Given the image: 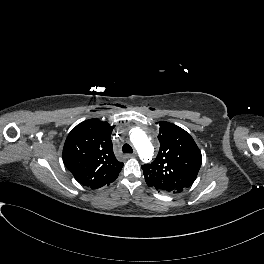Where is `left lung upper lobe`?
<instances>
[{
  "label": "left lung upper lobe",
  "mask_w": 264,
  "mask_h": 264,
  "mask_svg": "<svg viewBox=\"0 0 264 264\" xmlns=\"http://www.w3.org/2000/svg\"><path fill=\"white\" fill-rule=\"evenodd\" d=\"M160 150L150 164L142 165L149 187L167 193H180L195 181L201 167V151L189 133L160 121Z\"/></svg>",
  "instance_id": "1"
}]
</instances>
